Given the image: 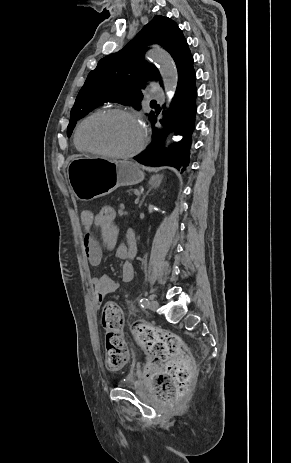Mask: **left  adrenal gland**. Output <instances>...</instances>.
I'll return each mask as SVG.
<instances>
[{
	"label": "left adrenal gland",
	"mask_w": 291,
	"mask_h": 463,
	"mask_svg": "<svg viewBox=\"0 0 291 463\" xmlns=\"http://www.w3.org/2000/svg\"><path fill=\"white\" fill-rule=\"evenodd\" d=\"M161 179H162V178L159 177L158 175L155 176V177H153V178L151 179V181H150V183H149V184H150V187H149L147 193L143 196L142 200L140 201L139 207L142 206V204H143V202H144L146 196L149 194V192H150L152 189H157V188L160 186Z\"/></svg>",
	"instance_id": "left-adrenal-gland-1"
}]
</instances>
